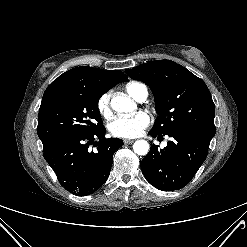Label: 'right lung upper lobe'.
<instances>
[{
  "mask_svg": "<svg viewBox=\"0 0 247 247\" xmlns=\"http://www.w3.org/2000/svg\"><path fill=\"white\" fill-rule=\"evenodd\" d=\"M127 79V76L118 70H102L87 66L76 67L55 79L45 90L42 100H47L62 91L82 87H91L107 92Z\"/></svg>",
  "mask_w": 247,
  "mask_h": 247,
  "instance_id": "right-lung-upper-lobe-1",
  "label": "right lung upper lobe"
}]
</instances>
